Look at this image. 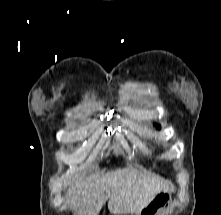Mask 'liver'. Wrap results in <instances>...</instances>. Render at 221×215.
<instances>
[{
	"instance_id": "6515ba94",
	"label": "liver",
	"mask_w": 221,
	"mask_h": 215,
	"mask_svg": "<svg viewBox=\"0 0 221 215\" xmlns=\"http://www.w3.org/2000/svg\"><path fill=\"white\" fill-rule=\"evenodd\" d=\"M169 191V183L129 169L79 179L66 193L70 207L80 215H98L106 201L112 214L139 212L157 193Z\"/></svg>"
}]
</instances>
